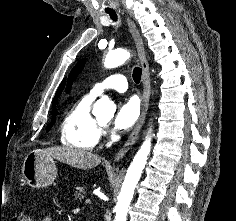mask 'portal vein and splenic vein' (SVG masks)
Listing matches in <instances>:
<instances>
[{"instance_id":"18ae733b","label":"portal vein and splenic vein","mask_w":236,"mask_h":221,"mask_svg":"<svg viewBox=\"0 0 236 221\" xmlns=\"http://www.w3.org/2000/svg\"><path fill=\"white\" fill-rule=\"evenodd\" d=\"M85 203H86V204H89V203H90V199H86V200H85Z\"/></svg>"}]
</instances>
